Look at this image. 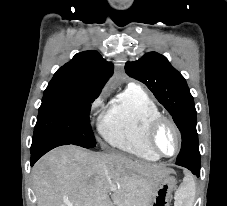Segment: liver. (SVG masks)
Instances as JSON below:
<instances>
[{"instance_id": "6515ba94", "label": "liver", "mask_w": 227, "mask_h": 206, "mask_svg": "<svg viewBox=\"0 0 227 206\" xmlns=\"http://www.w3.org/2000/svg\"><path fill=\"white\" fill-rule=\"evenodd\" d=\"M171 169L67 145L44 155L32 169L37 206H150ZM115 186L114 190H110Z\"/></svg>"}]
</instances>
